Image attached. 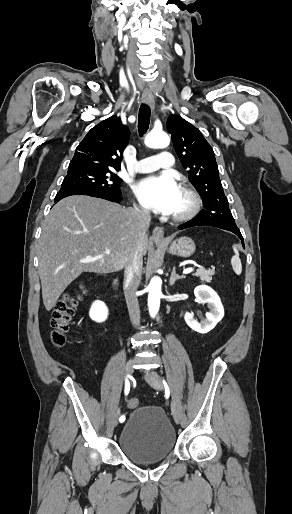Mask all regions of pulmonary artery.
Wrapping results in <instances>:
<instances>
[{"label": "pulmonary artery", "instance_id": "obj_1", "mask_svg": "<svg viewBox=\"0 0 292 514\" xmlns=\"http://www.w3.org/2000/svg\"><path fill=\"white\" fill-rule=\"evenodd\" d=\"M161 160V163L158 161ZM175 165V158L168 150L157 151L154 157L147 156L144 159L140 158L138 162L134 164V169L141 173L147 172H170Z\"/></svg>", "mask_w": 292, "mask_h": 514}]
</instances>
